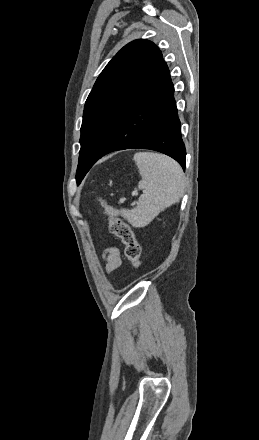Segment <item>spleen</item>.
Wrapping results in <instances>:
<instances>
[{
  "label": "spleen",
  "mask_w": 259,
  "mask_h": 440,
  "mask_svg": "<svg viewBox=\"0 0 259 440\" xmlns=\"http://www.w3.org/2000/svg\"><path fill=\"white\" fill-rule=\"evenodd\" d=\"M134 161L141 175L138 188L144 190L134 209L113 208L105 213L121 215L133 227L148 225L160 212L177 203L184 194L185 182L180 165L170 157L138 152Z\"/></svg>",
  "instance_id": "obj_1"
}]
</instances>
